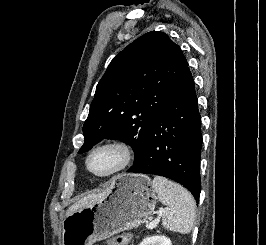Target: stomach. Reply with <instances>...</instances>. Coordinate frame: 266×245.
Masks as SVG:
<instances>
[{
    "instance_id": "obj_1",
    "label": "stomach",
    "mask_w": 266,
    "mask_h": 245,
    "mask_svg": "<svg viewBox=\"0 0 266 245\" xmlns=\"http://www.w3.org/2000/svg\"><path fill=\"white\" fill-rule=\"evenodd\" d=\"M101 203L71 213L63 221V245H93L121 231L142 225L157 203L154 185L147 175H117Z\"/></svg>"
}]
</instances>
